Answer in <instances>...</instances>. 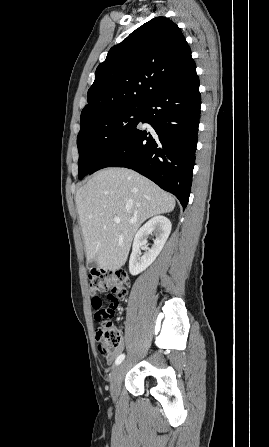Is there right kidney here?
I'll use <instances>...</instances> for the list:
<instances>
[{
    "instance_id": "obj_1",
    "label": "right kidney",
    "mask_w": 269,
    "mask_h": 447,
    "mask_svg": "<svg viewBox=\"0 0 269 447\" xmlns=\"http://www.w3.org/2000/svg\"><path fill=\"white\" fill-rule=\"evenodd\" d=\"M171 227L170 220L165 218V216H154V218H151L149 222H146V224L138 229L134 237L132 253L129 259V271L132 275H138V273L144 271L148 265H151V263L155 261L157 255L162 251L167 237H169ZM153 231L156 235L154 243L152 247H149L148 251L140 257V247L146 245L148 241L147 237L149 233H153Z\"/></svg>"
}]
</instances>
